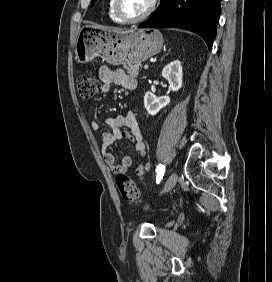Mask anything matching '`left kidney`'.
<instances>
[{
    "label": "left kidney",
    "mask_w": 272,
    "mask_h": 282,
    "mask_svg": "<svg viewBox=\"0 0 272 282\" xmlns=\"http://www.w3.org/2000/svg\"><path fill=\"white\" fill-rule=\"evenodd\" d=\"M182 65L179 60L172 61L162 70V77L170 85L172 91H178L182 87ZM170 103L169 96L156 97L154 93L147 92L144 96V106L151 116L156 115L161 109Z\"/></svg>",
    "instance_id": "5707ae66"
}]
</instances>
